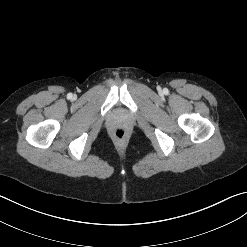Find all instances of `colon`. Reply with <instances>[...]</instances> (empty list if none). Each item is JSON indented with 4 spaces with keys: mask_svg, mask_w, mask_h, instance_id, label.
<instances>
[{
    "mask_svg": "<svg viewBox=\"0 0 247 247\" xmlns=\"http://www.w3.org/2000/svg\"><path fill=\"white\" fill-rule=\"evenodd\" d=\"M125 128L119 126L115 129V136L118 138V139H122L124 136H125Z\"/></svg>",
    "mask_w": 247,
    "mask_h": 247,
    "instance_id": "colon-1",
    "label": "colon"
}]
</instances>
